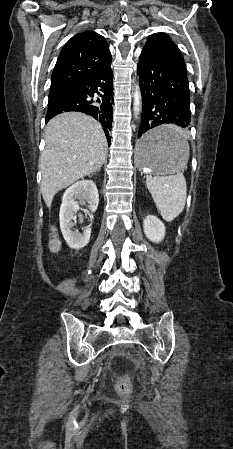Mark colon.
I'll return each mask as SVG.
<instances>
[{
    "mask_svg": "<svg viewBox=\"0 0 233 449\" xmlns=\"http://www.w3.org/2000/svg\"><path fill=\"white\" fill-rule=\"evenodd\" d=\"M55 245V244H53ZM117 393L120 396H129L132 393V386L130 383V378L127 374H124L120 377L117 385H116Z\"/></svg>",
    "mask_w": 233,
    "mask_h": 449,
    "instance_id": "5ec220e1",
    "label": "colon"
}]
</instances>
